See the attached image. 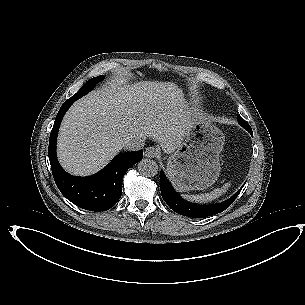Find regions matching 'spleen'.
Masks as SVG:
<instances>
[{
    "label": "spleen",
    "instance_id": "spleen-1",
    "mask_svg": "<svg viewBox=\"0 0 305 305\" xmlns=\"http://www.w3.org/2000/svg\"><path fill=\"white\" fill-rule=\"evenodd\" d=\"M228 184H225L221 188H216L210 193L205 194H196V195H183V198L190 202L195 203H208L212 200L217 199L219 196H221L227 189Z\"/></svg>",
    "mask_w": 305,
    "mask_h": 305
}]
</instances>
